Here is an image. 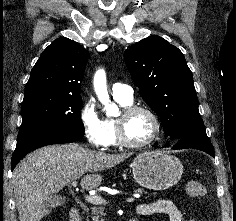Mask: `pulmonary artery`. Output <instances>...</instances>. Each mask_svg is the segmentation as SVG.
<instances>
[{"instance_id": "e3ab8cb5", "label": "pulmonary artery", "mask_w": 236, "mask_h": 221, "mask_svg": "<svg viewBox=\"0 0 236 221\" xmlns=\"http://www.w3.org/2000/svg\"><path fill=\"white\" fill-rule=\"evenodd\" d=\"M112 95L115 99L132 101L133 89L129 85L123 83H115L112 86Z\"/></svg>"}]
</instances>
